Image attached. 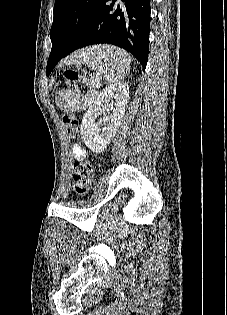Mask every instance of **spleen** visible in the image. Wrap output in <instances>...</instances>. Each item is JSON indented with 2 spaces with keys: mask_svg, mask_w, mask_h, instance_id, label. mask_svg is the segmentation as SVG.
<instances>
[{
  "mask_svg": "<svg viewBox=\"0 0 227 315\" xmlns=\"http://www.w3.org/2000/svg\"><path fill=\"white\" fill-rule=\"evenodd\" d=\"M66 64H87L98 71L108 83L119 82L130 70L131 59L122 49L112 46H93L71 54ZM93 87L98 86L92 83ZM58 105L63 109L84 110L91 106L95 100V93L82 96L78 91L63 90L56 97Z\"/></svg>",
  "mask_w": 227,
  "mask_h": 315,
  "instance_id": "1",
  "label": "spleen"
}]
</instances>
